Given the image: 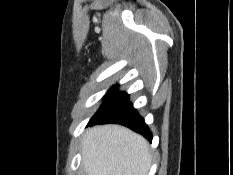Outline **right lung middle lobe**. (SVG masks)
<instances>
[{
	"instance_id": "obj_1",
	"label": "right lung middle lobe",
	"mask_w": 233,
	"mask_h": 175,
	"mask_svg": "<svg viewBox=\"0 0 233 175\" xmlns=\"http://www.w3.org/2000/svg\"><path fill=\"white\" fill-rule=\"evenodd\" d=\"M117 88L118 85H115L107 92V94L105 95V97H107L106 101L101 105V107L94 116H96L102 110L107 108L112 102H114L118 97H120L123 94V93H116Z\"/></svg>"
}]
</instances>
